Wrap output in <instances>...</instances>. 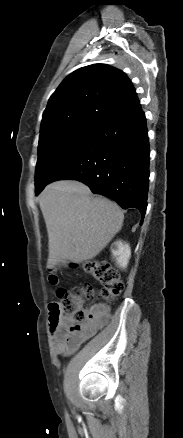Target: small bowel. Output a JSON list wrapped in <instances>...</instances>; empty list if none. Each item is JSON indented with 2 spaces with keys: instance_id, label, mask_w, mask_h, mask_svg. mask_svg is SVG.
<instances>
[{
  "instance_id": "obj_1",
  "label": "small bowel",
  "mask_w": 183,
  "mask_h": 438,
  "mask_svg": "<svg viewBox=\"0 0 183 438\" xmlns=\"http://www.w3.org/2000/svg\"><path fill=\"white\" fill-rule=\"evenodd\" d=\"M110 319L109 307L96 304L88 310L87 320L79 332H72L69 324L62 321L52 330L54 350L57 354H68L94 336Z\"/></svg>"
}]
</instances>
